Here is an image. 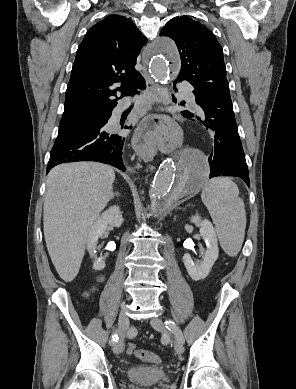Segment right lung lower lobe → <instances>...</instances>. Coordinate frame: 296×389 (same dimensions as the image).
I'll return each instance as SVG.
<instances>
[{"mask_svg": "<svg viewBox=\"0 0 296 389\" xmlns=\"http://www.w3.org/2000/svg\"><path fill=\"white\" fill-rule=\"evenodd\" d=\"M136 88L145 89V80L142 79L131 93H138ZM110 116L103 117L100 124L90 130L57 138L50 152L47 173L60 163L75 161H97L126 171L122 161L125 137L113 135L104 128Z\"/></svg>", "mask_w": 296, "mask_h": 389, "instance_id": "obj_1", "label": "right lung lower lobe"}]
</instances>
